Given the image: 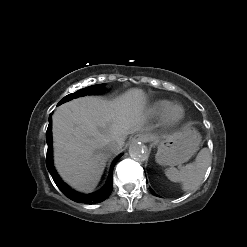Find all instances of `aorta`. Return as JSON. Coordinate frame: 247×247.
I'll list each match as a JSON object with an SVG mask.
<instances>
[{"mask_svg": "<svg viewBox=\"0 0 247 247\" xmlns=\"http://www.w3.org/2000/svg\"><path fill=\"white\" fill-rule=\"evenodd\" d=\"M129 155L134 160H145L146 148L141 142L134 141L129 146Z\"/></svg>", "mask_w": 247, "mask_h": 247, "instance_id": "762f6f07", "label": "aorta"}]
</instances>
